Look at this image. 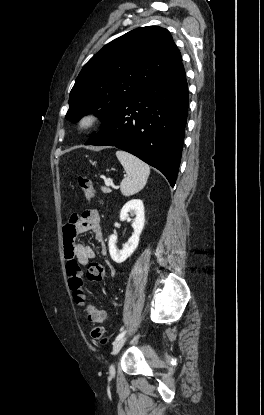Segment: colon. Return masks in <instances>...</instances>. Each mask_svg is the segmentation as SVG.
I'll return each mask as SVG.
<instances>
[{"instance_id": "obj_1", "label": "colon", "mask_w": 264, "mask_h": 415, "mask_svg": "<svg viewBox=\"0 0 264 415\" xmlns=\"http://www.w3.org/2000/svg\"><path fill=\"white\" fill-rule=\"evenodd\" d=\"M78 183L84 195L88 199L95 197V190L92 182L83 175H78ZM68 285L73 293L76 303L84 307L87 323L91 326V337L100 342L106 343L105 331L99 325L104 315L102 311L87 302L85 291L83 290L82 269L75 261H71L66 269ZM105 269L101 264L90 263L85 269V277L89 281H101L104 278Z\"/></svg>"}]
</instances>
